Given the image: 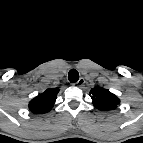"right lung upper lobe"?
<instances>
[{
	"label": "right lung upper lobe",
	"instance_id": "1",
	"mask_svg": "<svg viewBox=\"0 0 143 143\" xmlns=\"http://www.w3.org/2000/svg\"><path fill=\"white\" fill-rule=\"evenodd\" d=\"M59 88L47 89L29 102V110L34 114L49 112L55 104Z\"/></svg>",
	"mask_w": 143,
	"mask_h": 143
}]
</instances>
